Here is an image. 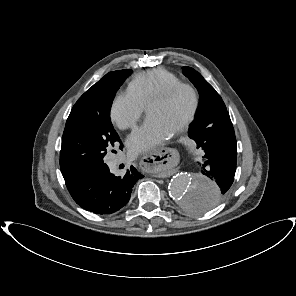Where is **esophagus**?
<instances>
[{
  "instance_id": "1",
  "label": "esophagus",
  "mask_w": 296,
  "mask_h": 296,
  "mask_svg": "<svg viewBox=\"0 0 296 296\" xmlns=\"http://www.w3.org/2000/svg\"><path fill=\"white\" fill-rule=\"evenodd\" d=\"M184 158L183 150L176 145L163 147L161 150L142 155L137 162L138 168L145 173L165 176L173 166L179 165Z\"/></svg>"
}]
</instances>
